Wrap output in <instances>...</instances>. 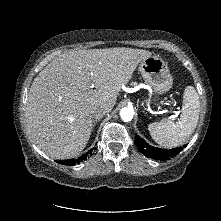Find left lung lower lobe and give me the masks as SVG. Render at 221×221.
<instances>
[{"mask_svg": "<svg viewBox=\"0 0 221 221\" xmlns=\"http://www.w3.org/2000/svg\"><path fill=\"white\" fill-rule=\"evenodd\" d=\"M135 144L137 145L140 152H142L146 157L165 161L176 156L186 145L183 147H177L174 149L166 150L157 147L150 146L144 139L140 138L138 135L135 137Z\"/></svg>", "mask_w": 221, "mask_h": 221, "instance_id": "obj_1", "label": "left lung lower lobe"}]
</instances>
